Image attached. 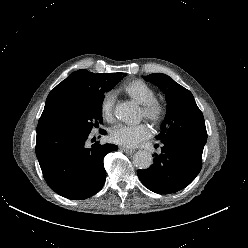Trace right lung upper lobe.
Segmentation results:
<instances>
[{
  "label": "right lung upper lobe",
  "mask_w": 248,
  "mask_h": 248,
  "mask_svg": "<svg viewBox=\"0 0 248 248\" xmlns=\"http://www.w3.org/2000/svg\"><path fill=\"white\" fill-rule=\"evenodd\" d=\"M108 74H94L86 70H78L59 83L48 95L44 111L40 118L62 108L71 107L83 102L94 79Z\"/></svg>",
  "instance_id": "1"
}]
</instances>
